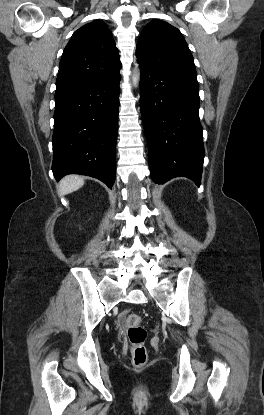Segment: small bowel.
I'll list each match as a JSON object with an SVG mask.
<instances>
[{"mask_svg":"<svg viewBox=\"0 0 264 415\" xmlns=\"http://www.w3.org/2000/svg\"><path fill=\"white\" fill-rule=\"evenodd\" d=\"M124 318H125V314H121V315L118 317V322H122V321L124 320Z\"/></svg>","mask_w":264,"mask_h":415,"instance_id":"c3829d8e","label":"small bowel"}]
</instances>
